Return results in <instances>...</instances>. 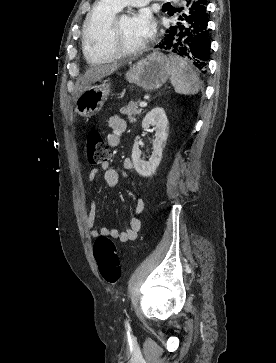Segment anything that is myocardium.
I'll use <instances>...</instances> for the list:
<instances>
[{"label":"myocardium","mask_w":276,"mask_h":363,"mask_svg":"<svg viewBox=\"0 0 276 363\" xmlns=\"http://www.w3.org/2000/svg\"><path fill=\"white\" fill-rule=\"evenodd\" d=\"M123 15H116L108 30V48L116 57L137 56L144 52L149 45V41H145L135 48H125L119 42L120 24Z\"/></svg>","instance_id":"myocardium-1"}]
</instances>
